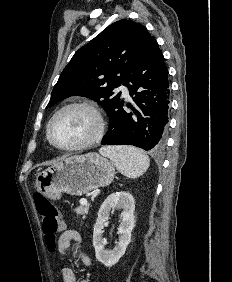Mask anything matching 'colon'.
Instances as JSON below:
<instances>
[{"mask_svg":"<svg viewBox=\"0 0 232 282\" xmlns=\"http://www.w3.org/2000/svg\"><path fill=\"white\" fill-rule=\"evenodd\" d=\"M34 203L41 216L47 247L50 251H53L56 247L57 236L62 230V222L57 208L40 193L34 194Z\"/></svg>","mask_w":232,"mask_h":282,"instance_id":"1","label":"colon"}]
</instances>
